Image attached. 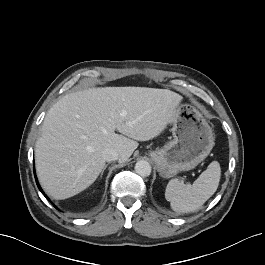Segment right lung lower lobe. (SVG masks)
Listing matches in <instances>:
<instances>
[{"label":"right lung lower lobe","instance_id":"1","mask_svg":"<svg viewBox=\"0 0 265 265\" xmlns=\"http://www.w3.org/2000/svg\"><path fill=\"white\" fill-rule=\"evenodd\" d=\"M35 174V173H34ZM35 179H36V183H37V186H38V188H39V190L42 192V194L49 200V198L45 195V193L42 191V189H41V187H40V185H39V183H38V181H37V178H36V176H35ZM50 201V200H49ZM51 202V201H50Z\"/></svg>","mask_w":265,"mask_h":265}]
</instances>
